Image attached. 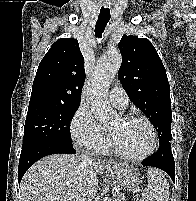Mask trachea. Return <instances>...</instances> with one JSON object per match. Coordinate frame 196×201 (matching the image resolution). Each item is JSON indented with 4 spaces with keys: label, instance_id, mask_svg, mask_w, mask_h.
I'll return each mask as SVG.
<instances>
[{
    "label": "trachea",
    "instance_id": "trachea-1",
    "mask_svg": "<svg viewBox=\"0 0 196 201\" xmlns=\"http://www.w3.org/2000/svg\"><path fill=\"white\" fill-rule=\"evenodd\" d=\"M109 20H110L109 8L102 7L100 9V14H99L98 20L96 22V27H95L96 37H98V38L102 37V33L104 32V29H105L107 23L109 22Z\"/></svg>",
    "mask_w": 196,
    "mask_h": 201
}]
</instances>
